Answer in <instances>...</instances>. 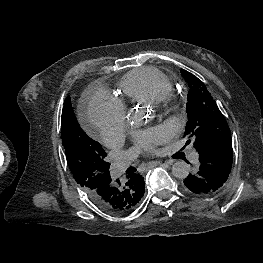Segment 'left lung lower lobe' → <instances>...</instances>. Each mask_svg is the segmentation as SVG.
<instances>
[{
  "mask_svg": "<svg viewBox=\"0 0 263 263\" xmlns=\"http://www.w3.org/2000/svg\"><path fill=\"white\" fill-rule=\"evenodd\" d=\"M198 153L199 165L196 171L184 180V184L195 194H211L218 190L229 177L233 160L232 140H219Z\"/></svg>",
  "mask_w": 263,
  "mask_h": 263,
  "instance_id": "0a47b994",
  "label": "left lung lower lobe"
}]
</instances>
